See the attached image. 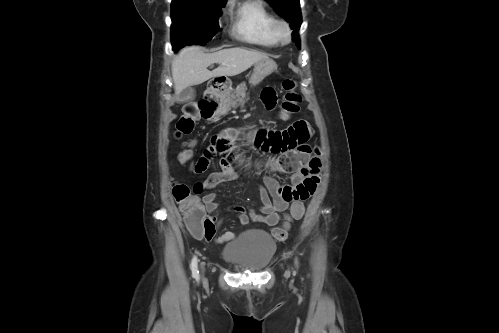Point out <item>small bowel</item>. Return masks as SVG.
Instances as JSON below:
<instances>
[{"instance_id":"obj_1","label":"small bowel","mask_w":499,"mask_h":333,"mask_svg":"<svg viewBox=\"0 0 499 333\" xmlns=\"http://www.w3.org/2000/svg\"><path fill=\"white\" fill-rule=\"evenodd\" d=\"M262 101L268 109L276 105V93L267 87L262 91ZM312 128L306 120H297L281 130L259 128L249 132L244 139L256 149L275 156L270 162L273 170L289 174V184H279L268 174H264L265 186H261L259 211L250 207L235 206L232 211L240 224L250 221L268 226H275L281 221V213L285 212L295 201L309 199L316 191L320 182L322 161L319 149L311 146L308 141L312 136ZM242 132L239 129H225L213 136L202 156L196 162L194 174L200 175L209 167L211 161L219 158L221 173H212L203 181L194 185L195 194L205 192L202 202L209 214L216 212L218 202L213 189L227 181L241 178V173L235 168L239 159L238 140ZM214 222V218L211 217ZM222 220L217 222L220 228ZM235 239L232 232H224L215 241L223 243Z\"/></svg>"}]
</instances>
